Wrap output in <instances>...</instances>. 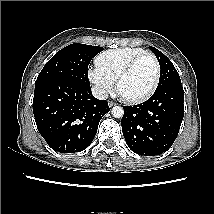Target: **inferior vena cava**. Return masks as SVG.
I'll use <instances>...</instances> for the list:
<instances>
[{
	"label": "inferior vena cava",
	"instance_id": "obj_1",
	"mask_svg": "<svg viewBox=\"0 0 214 214\" xmlns=\"http://www.w3.org/2000/svg\"><path fill=\"white\" fill-rule=\"evenodd\" d=\"M92 94L95 98H97L99 100H105L108 98L107 91L98 86L92 87Z\"/></svg>",
	"mask_w": 214,
	"mask_h": 214
}]
</instances>
